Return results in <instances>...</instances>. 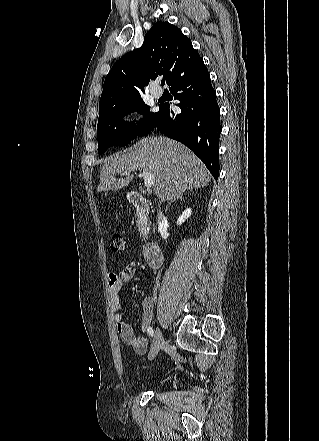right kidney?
Here are the masks:
<instances>
[{
	"label": "right kidney",
	"mask_w": 319,
	"mask_h": 441,
	"mask_svg": "<svg viewBox=\"0 0 319 441\" xmlns=\"http://www.w3.org/2000/svg\"><path fill=\"white\" fill-rule=\"evenodd\" d=\"M192 211L190 208H187L183 211V213L177 219V225H181L188 217H190Z\"/></svg>",
	"instance_id": "ca27d5eb"
}]
</instances>
